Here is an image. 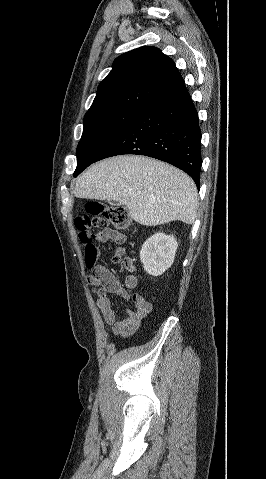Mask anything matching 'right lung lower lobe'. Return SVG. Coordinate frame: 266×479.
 Instances as JSON below:
<instances>
[{"instance_id":"right-lung-lower-lobe-1","label":"right lung lower lobe","mask_w":266,"mask_h":479,"mask_svg":"<svg viewBox=\"0 0 266 479\" xmlns=\"http://www.w3.org/2000/svg\"><path fill=\"white\" fill-rule=\"evenodd\" d=\"M121 154L145 155L170 163L188 173L199 189L201 130L184 84L140 110L94 162Z\"/></svg>"}]
</instances>
